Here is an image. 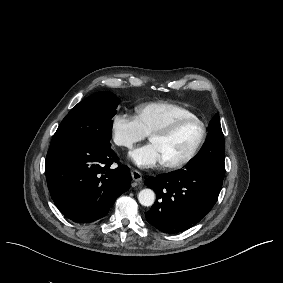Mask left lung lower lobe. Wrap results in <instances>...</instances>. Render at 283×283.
<instances>
[{"label": "left lung lower lobe", "mask_w": 283, "mask_h": 283, "mask_svg": "<svg viewBox=\"0 0 283 283\" xmlns=\"http://www.w3.org/2000/svg\"><path fill=\"white\" fill-rule=\"evenodd\" d=\"M198 153L184 169L146 179L157 199L145 212L147 221L164 233H178L197 224L214 206L222 188L224 157L214 147Z\"/></svg>", "instance_id": "1"}]
</instances>
